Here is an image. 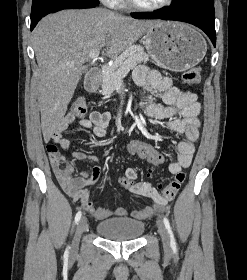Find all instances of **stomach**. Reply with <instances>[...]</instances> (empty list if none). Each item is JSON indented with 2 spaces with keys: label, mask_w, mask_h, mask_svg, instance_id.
Returning a JSON list of instances; mask_svg holds the SVG:
<instances>
[{
  "label": "stomach",
  "mask_w": 247,
  "mask_h": 280,
  "mask_svg": "<svg viewBox=\"0 0 247 280\" xmlns=\"http://www.w3.org/2000/svg\"><path fill=\"white\" fill-rule=\"evenodd\" d=\"M147 52L157 66L174 72L186 71L205 56L203 36L187 24L159 22L145 36Z\"/></svg>",
  "instance_id": "0dacf381"
}]
</instances>
